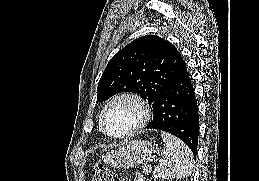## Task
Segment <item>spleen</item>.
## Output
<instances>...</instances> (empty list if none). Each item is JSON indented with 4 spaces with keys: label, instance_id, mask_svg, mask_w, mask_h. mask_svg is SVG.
I'll return each mask as SVG.
<instances>
[{
    "label": "spleen",
    "instance_id": "3e777b00",
    "mask_svg": "<svg viewBox=\"0 0 259 181\" xmlns=\"http://www.w3.org/2000/svg\"><path fill=\"white\" fill-rule=\"evenodd\" d=\"M164 149L161 152L162 160L154 169V178L180 179L191 175L194 167L193 154L189 147L179 138L167 132L161 134Z\"/></svg>",
    "mask_w": 259,
    "mask_h": 181
}]
</instances>
